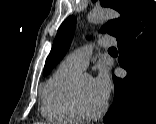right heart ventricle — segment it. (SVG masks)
Wrapping results in <instances>:
<instances>
[{"instance_id":"1","label":"right heart ventricle","mask_w":156,"mask_h":124,"mask_svg":"<svg viewBox=\"0 0 156 124\" xmlns=\"http://www.w3.org/2000/svg\"><path fill=\"white\" fill-rule=\"evenodd\" d=\"M80 72L63 61L45 83L41 96V113L49 122L74 124L80 121L69 101L71 86Z\"/></svg>"}]
</instances>
